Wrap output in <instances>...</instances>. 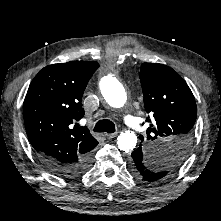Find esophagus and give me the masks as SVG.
Returning <instances> with one entry per match:
<instances>
[{
    "label": "esophagus",
    "instance_id": "esophagus-1",
    "mask_svg": "<svg viewBox=\"0 0 221 221\" xmlns=\"http://www.w3.org/2000/svg\"><path fill=\"white\" fill-rule=\"evenodd\" d=\"M116 136H117V133H106L105 134V137L108 138V139L114 138Z\"/></svg>",
    "mask_w": 221,
    "mask_h": 221
}]
</instances>
